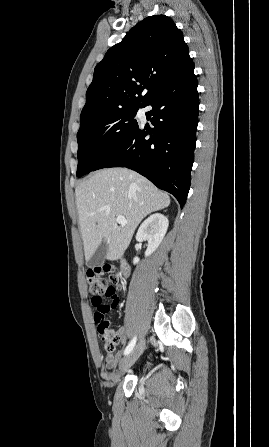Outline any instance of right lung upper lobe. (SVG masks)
I'll use <instances>...</instances> for the list:
<instances>
[{"label": "right lung upper lobe", "instance_id": "right-lung-upper-lobe-1", "mask_svg": "<svg viewBox=\"0 0 269 447\" xmlns=\"http://www.w3.org/2000/svg\"><path fill=\"white\" fill-rule=\"evenodd\" d=\"M191 62L183 34L169 17L145 18L95 67L80 126L106 112L144 104Z\"/></svg>", "mask_w": 269, "mask_h": 447}]
</instances>
